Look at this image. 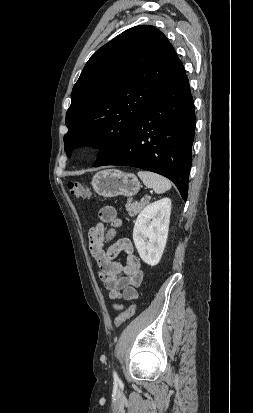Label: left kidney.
<instances>
[{
    "label": "left kidney",
    "mask_w": 253,
    "mask_h": 413,
    "mask_svg": "<svg viewBox=\"0 0 253 413\" xmlns=\"http://www.w3.org/2000/svg\"><path fill=\"white\" fill-rule=\"evenodd\" d=\"M171 200L163 198L147 205L138 215L133 229V241L146 264L159 263L168 237Z\"/></svg>",
    "instance_id": "5707ae66"
}]
</instances>
